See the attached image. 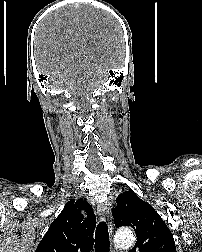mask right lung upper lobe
I'll use <instances>...</instances> for the list:
<instances>
[{"mask_svg":"<svg viewBox=\"0 0 202 252\" xmlns=\"http://www.w3.org/2000/svg\"><path fill=\"white\" fill-rule=\"evenodd\" d=\"M81 210H86L87 218ZM95 221L93 209L86 201H68L36 252H89L93 245Z\"/></svg>","mask_w":202,"mask_h":252,"instance_id":"obj_1","label":"right lung upper lobe"}]
</instances>
